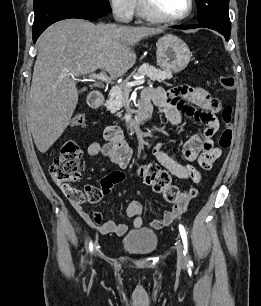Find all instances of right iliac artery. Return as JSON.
Masks as SVG:
<instances>
[{"label": "right iliac artery", "instance_id": "obj_1", "mask_svg": "<svg viewBox=\"0 0 261 306\" xmlns=\"http://www.w3.org/2000/svg\"><path fill=\"white\" fill-rule=\"evenodd\" d=\"M89 247H90V250L92 251V242H90Z\"/></svg>", "mask_w": 261, "mask_h": 306}]
</instances>
